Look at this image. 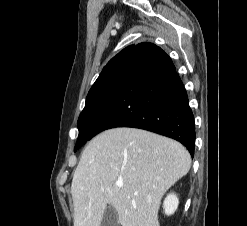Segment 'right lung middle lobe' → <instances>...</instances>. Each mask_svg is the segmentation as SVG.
<instances>
[{
	"instance_id": "dd1d6c3e",
	"label": "right lung middle lobe",
	"mask_w": 247,
	"mask_h": 226,
	"mask_svg": "<svg viewBox=\"0 0 247 226\" xmlns=\"http://www.w3.org/2000/svg\"><path fill=\"white\" fill-rule=\"evenodd\" d=\"M127 59L123 57L112 64L91 87L78 119L79 136L74 151L91 139L93 128L116 89Z\"/></svg>"
}]
</instances>
